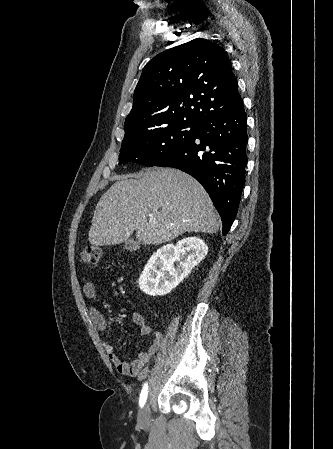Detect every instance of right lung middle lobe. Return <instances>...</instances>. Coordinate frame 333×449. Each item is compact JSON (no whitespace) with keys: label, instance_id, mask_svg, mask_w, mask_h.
Wrapping results in <instances>:
<instances>
[{"label":"right lung middle lobe","instance_id":"obj_1","mask_svg":"<svg viewBox=\"0 0 333 449\" xmlns=\"http://www.w3.org/2000/svg\"><path fill=\"white\" fill-rule=\"evenodd\" d=\"M199 127L191 121H172L122 141L119 164L134 162L156 166L190 139Z\"/></svg>","mask_w":333,"mask_h":449}]
</instances>
